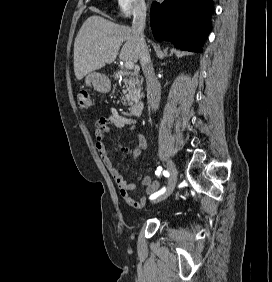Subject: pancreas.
Segmentation results:
<instances>
[{
	"instance_id": "pancreas-1",
	"label": "pancreas",
	"mask_w": 272,
	"mask_h": 282,
	"mask_svg": "<svg viewBox=\"0 0 272 282\" xmlns=\"http://www.w3.org/2000/svg\"><path fill=\"white\" fill-rule=\"evenodd\" d=\"M123 88H126L128 94L125 97H122L125 105H132L133 102L137 99L139 94V83L134 77H130L125 81Z\"/></svg>"
}]
</instances>
